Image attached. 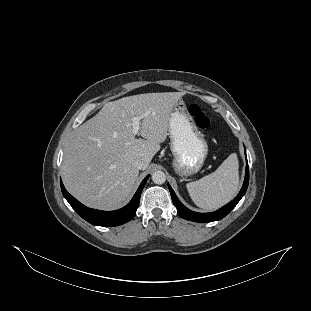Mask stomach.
Returning <instances> with one entry per match:
<instances>
[{
	"mask_svg": "<svg viewBox=\"0 0 311 311\" xmlns=\"http://www.w3.org/2000/svg\"><path fill=\"white\" fill-rule=\"evenodd\" d=\"M168 133L175 172L182 178L197 173L207 157L208 144L181 99L170 114Z\"/></svg>",
	"mask_w": 311,
	"mask_h": 311,
	"instance_id": "0dacf381",
	"label": "stomach"
}]
</instances>
